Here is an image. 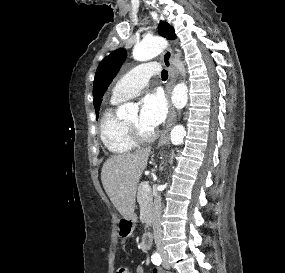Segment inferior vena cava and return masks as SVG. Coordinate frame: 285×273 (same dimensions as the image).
Listing matches in <instances>:
<instances>
[{"label": "inferior vena cava", "instance_id": "1", "mask_svg": "<svg viewBox=\"0 0 285 273\" xmlns=\"http://www.w3.org/2000/svg\"><path fill=\"white\" fill-rule=\"evenodd\" d=\"M161 213H162V203L161 197L158 195L155 197L153 210H152V226H153V235L156 245V250L160 254H164L162 244V228H161Z\"/></svg>", "mask_w": 285, "mask_h": 273}]
</instances>
